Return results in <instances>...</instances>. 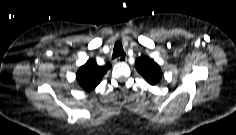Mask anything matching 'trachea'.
<instances>
[{
  "instance_id": "3493384b",
  "label": "trachea",
  "mask_w": 236,
  "mask_h": 135,
  "mask_svg": "<svg viewBox=\"0 0 236 135\" xmlns=\"http://www.w3.org/2000/svg\"><path fill=\"white\" fill-rule=\"evenodd\" d=\"M125 52L123 50V46L120 42H116L114 49H113V54H112V58L115 59L119 56H124Z\"/></svg>"
}]
</instances>
